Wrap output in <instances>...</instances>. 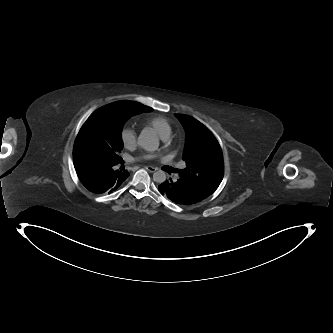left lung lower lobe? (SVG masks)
I'll return each mask as SVG.
<instances>
[{
	"label": "left lung lower lobe",
	"mask_w": 333,
	"mask_h": 333,
	"mask_svg": "<svg viewBox=\"0 0 333 333\" xmlns=\"http://www.w3.org/2000/svg\"><path fill=\"white\" fill-rule=\"evenodd\" d=\"M158 190L172 202L180 205L195 204L206 198L177 177L166 179L158 186Z\"/></svg>",
	"instance_id": "1"
}]
</instances>
